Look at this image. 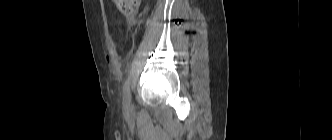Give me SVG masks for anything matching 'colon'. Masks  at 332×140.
<instances>
[{"label":"colon","mask_w":332,"mask_h":140,"mask_svg":"<svg viewBox=\"0 0 332 140\" xmlns=\"http://www.w3.org/2000/svg\"><path fill=\"white\" fill-rule=\"evenodd\" d=\"M118 9L126 16H131L142 0H113Z\"/></svg>","instance_id":"obj_1"}]
</instances>
